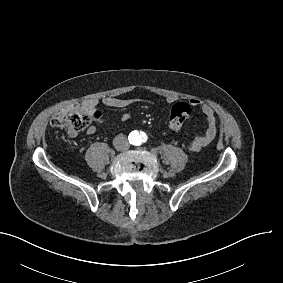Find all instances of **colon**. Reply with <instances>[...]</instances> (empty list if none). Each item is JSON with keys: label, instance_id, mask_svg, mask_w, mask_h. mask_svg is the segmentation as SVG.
Listing matches in <instances>:
<instances>
[{"label": "colon", "instance_id": "colon-1", "mask_svg": "<svg viewBox=\"0 0 283 283\" xmlns=\"http://www.w3.org/2000/svg\"><path fill=\"white\" fill-rule=\"evenodd\" d=\"M79 106L72 104L68 108L55 112L52 116V127L58 130H64L70 136H75L78 133L88 128L90 122L88 115L78 112ZM190 109L187 105L176 102L172 105L169 113L168 126L171 130H178L182 122L189 120Z\"/></svg>", "mask_w": 283, "mask_h": 283}]
</instances>
